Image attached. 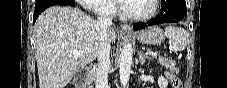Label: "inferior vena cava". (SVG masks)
<instances>
[{
    "label": "inferior vena cava",
    "mask_w": 227,
    "mask_h": 88,
    "mask_svg": "<svg viewBox=\"0 0 227 88\" xmlns=\"http://www.w3.org/2000/svg\"><path fill=\"white\" fill-rule=\"evenodd\" d=\"M112 25L109 17H98L96 22L99 33V47L97 53L98 67L96 69V88H108V72L110 69V42L107 34L108 28Z\"/></svg>",
    "instance_id": "602c4592"
}]
</instances>
